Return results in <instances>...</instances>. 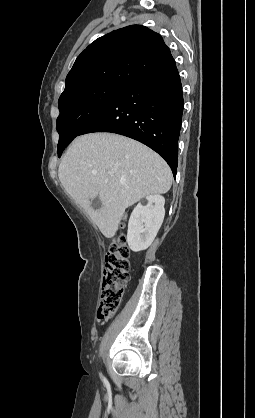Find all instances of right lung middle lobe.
<instances>
[{
  "label": "right lung middle lobe",
  "mask_w": 255,
  "mask_h": 418,
  "mask_svg": "<svg viewBox=\"0 0 255 418\" xmlns=\"http://www.w3.org/2000/svg\"><path fill=\"white\" fill-rule=\"evenodd\" d=\"M126 86L113 81H96L77 86L60 96V114L56 125L60 135L59 157L81 130Z\"/></svg>",
  "instance_id": "1"
}]
</instances>
